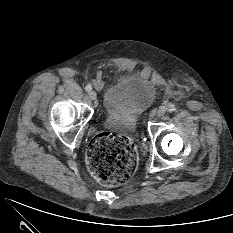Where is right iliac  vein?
I'll return each instance as SVG.
<instances>
[{"mask_svg":"<svg viewBox=\"0 0 233 233\" xmlns=\"http://www.w3.org/2000/svg\"><path fill=\"white\" fill-rule=\"evenodd\" d=\"M89 97L91 100H95L97 98V94L95 91H90L89 92Z\"/></svg>","mask_w":233,"mask_h":233,"instance_id":"obj_1","label":"right iliac vein"}]
</instances>
